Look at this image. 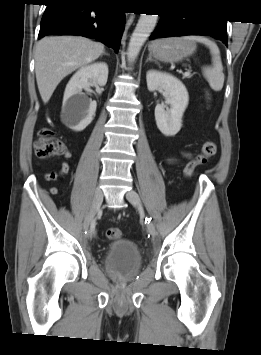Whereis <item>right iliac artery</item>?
Returning a JSON list of instances; mask_svg holds the SVG:
<instances>
[{"mask_svg": "<svg viewBox=\"0 0 261 355\" xmlns=\"http://www.w3.org/2000/svg\"><path fill=\"white\" fill-rule=\"evenodd\" d=\"M95 230V222L93 221L90 227V232L93 233Z\"/></svg>", "mask_w": 261, "mask_h": 355, "instance_id": "right-iliac-artery-1", "label": "right iliac artery"}]
</instances>
